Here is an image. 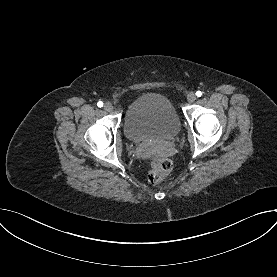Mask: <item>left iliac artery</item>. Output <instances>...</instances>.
<instances>
[{
    "label": "left iliac artery",
    "mask_w": 277,
    "mask_h": 277,
    "mask_svg": "<svg viewBox=\"0 0 277 277\" xmlns=\"http://www.w3.org/2000/svg\"><path fill=\"white\" fill-rule=\"evenodd\" d=\"M196 95H197L198 97H200V96L202 95V92H201V91H197V92H196Z\"/></svg>",
    "instance_id": "obj_1"
}]
</instances>
